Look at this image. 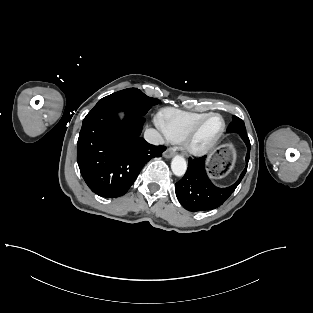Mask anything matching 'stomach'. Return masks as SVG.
I'll return each instance as SVG.
<instances>
[{
	"mask_svg": "<svg viewBox=\"0 0 313 313\" xmlns=\"http://www.w3.org/2000/svg\"><path fill=\"white\" fill-rule=\"evenodd\" d=\"M236 151L233 144H224L216 148L208 157V170L214 178H222L233 168Z\"/></svg>",
	"mask_w": 313,
	"mask_h": 313,
	"instance_id": "obj_1",
	"label": "stomach"
}]
</instances>
